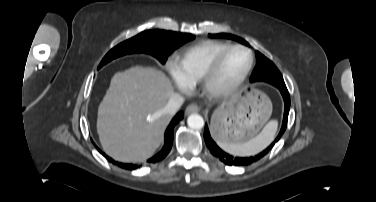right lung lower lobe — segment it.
Here are the masks:
<instances>
[{"label": "right lung lower lobe", "instance_id": "1", "mask_svg": "<svg viewBox=\"0 0 376 202\" xmlns=\"http://www.w3.org/2000/svg\"><path fill=\"white\" fill-rule=\"evenodd\" d=\"M183 116H184L183 113L179 112L172 119V121L170 122V124L167 127L166 132H165V144H164L162 150L159 153H157L154 157H152L151 159H149L148 160L149 163L158 162V161L164 159L166 157V155L169 153V151H170V149L172 147V144H173V135H174L173 131H174V127L183 118ZM99 152L102 153L100 150H99ZM102 154L106 157V155L104 153H102ZM108 160L110 162H112L113 164H116L119 167L124 168V169L133 170V169L137 168V166L133 165V164H123V163L115 162L111 158H108Z\"/></svg>", "mask_w": 376, "mask_h": 202}]
</instances>
